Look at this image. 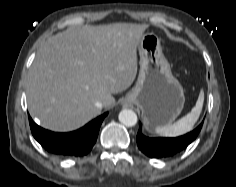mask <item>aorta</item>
Returning a JSON list of instances; mask_svg holds the SVG:
<instances>
[{"instance_id":"aorta-1","label":"aorta","mask_w":236,"mask_h":187,"mask_svg":"<svg viewBox=\"0 0 236 187\" xmlns=\"http://www.w3.org/2000/svg\"><path fill=\"white\" fill-rule=\"evenodd\" d=\"M119 121L127 126L132 127L137 123V115L134 111L130 109H124L119 113Z\"/></svg>"}]
</instances>
